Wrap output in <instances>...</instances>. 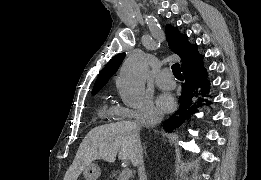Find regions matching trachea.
<instances>
[{
    "instance_id": "3493384b",
    "label": "trachea",
    "mask_w": 261,
    "mask_h": 180,
    "mask_svg": "<svg viewBox=\"0 0 261 180\" xmlns=\"http://www.w3.org/2000/svg\"><path fill=\"white\" fill-rule=\"evenodd\" d=\"M171 68H172L173 75L176 78H178V79H183L184 78L183 75L180 72V65H179V63H174Z\"/></svg>"
}]
</instances>
